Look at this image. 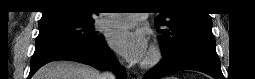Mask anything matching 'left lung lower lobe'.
Instances as JSON below:
<instances>
[{
    "mask_svg": "<svg viewBox=\"0 0 255 79\" xmlns=\"http://www.w3.org/2000/svg\"><path fill=\"white\" fill-rule=\"evenodd\" d=\"M180 70H197L215 79H224L215 50V39H197L183 44L173 53L163 56L162 61L143 79H160Z\"/></svg>",
    "mask_w": 255,
    "mask_h": 79,
    "instance_id": "left-lung-lower-lobe-1",
    "label": "left lung lower lobe"
}]
</instances>
